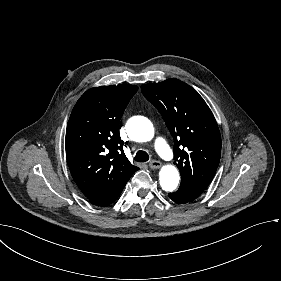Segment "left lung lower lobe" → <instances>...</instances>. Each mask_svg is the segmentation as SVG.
<instances>
[{
  "mask_svg": "<svg viewBox=\"0 0 281 281\" xmlns=\"http://www.w3.org/2000/svg\"><path fill=\"white\" fill-rule=\"evenodd\" d=\"M168 196L176 203H187L196 199L199 195L184 188H179L176 192L169 193Z\"/></svg>",
  "mask_w": 281,
  "mask_h": 281,
  "instance_id": "left-lung-lower-lobe-1",
  "label": "left lung lower lobe"
}]
</instances>
